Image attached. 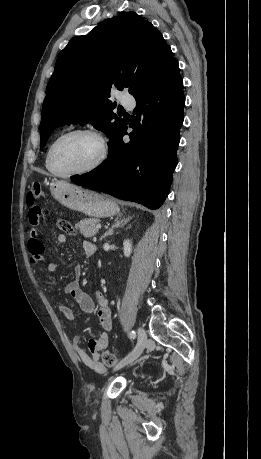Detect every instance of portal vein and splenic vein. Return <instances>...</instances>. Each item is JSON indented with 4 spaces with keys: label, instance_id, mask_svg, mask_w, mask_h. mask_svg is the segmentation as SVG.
<instances>
[{
    "label": "portal vein and splenic vein",
    "instance_id": "portal-vein-and-splenic-vein-1",
    "mask_svg": "<svg viewBox=\"0 0 261 459\" xmlns=\"http://www.w3.org/2000/svg\"><path fill=\"white\" fill-rule=\"evenodd\" d=\"M96 227H97L98 229H100V228H101V224H97Z\"/></svg>",
    "mask_w": 261,
    "mask_h": 459
}]
</instances>
